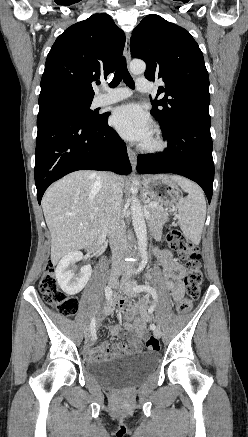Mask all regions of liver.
<instances>
[{
  "mask_svg": "<svg viewBox=\"0 0 248 437\" xmlns=\"http://www.w3.org/2000/svg\"><path fill=\"white\" fill-rule=\"evenodd\" d=\"M117 178L123 188L124 178ZM105 205L104 174L94 171L73 172L46 191L42 208L51 233L53 264L93 244L104 227Z\"/></svg>",
  "mask_w": 248,
  "mask_h": 437,
  "instance_id": "6515ba94",
  "label": "liver"
}]
</instances>
